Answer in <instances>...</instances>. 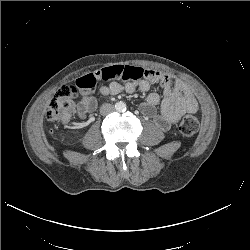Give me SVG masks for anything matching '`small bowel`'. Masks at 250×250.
I'll return each instance as SVG.
<instances>
[{
	"label": "small bowel",
	"instance_id": "small-bowel-1",
	"mask_svg": "<svg viewBox=\"0 0 250 250\" xmlns=\"http://www.w3.org/2000/svg\"><path fill=\"white\" fill-rule=\"evenodd\" d=\"M100 81L106 82L99 88L104 96H115L122 92H148L152 84H159L162 87V95L148 94L140 109L162 130L170 129L183 114L195 113L198 109L197 100L185 82L157 70L117 65L86 74L76 80V86L81 93L77 107L81 119L96 109L97 100L92 96V92Z\"/></svg>",
	"mask_w": 250,
	"mask_h": 250
}]
</instances>
